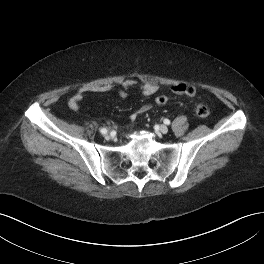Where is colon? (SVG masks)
Segmentation results:
<instances>
[{
	"label": "colon",
	"instance_id": "obj_1",
	"mask_svg": "<svg viewBox=\"0 0 264 264\" xmlns=\"http://www.w3.org/2000/svg\"><path fill=\"white\" fill-rule=\"evenodd\" d=\"M185 93L190 97L194 96L196 93L195 87L190 86V85L186 86ZM167 101H168V98L165 95H159L155 98V103L160 106L165 105ZM195 112L200 117H207L211 114L210 108L203 103H197L195 105Z\"/></svg>",
	"mask_w": 264,
	"mask_h": 264
}]
</instances>
